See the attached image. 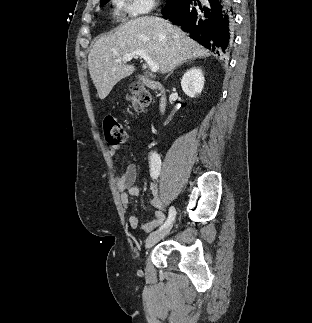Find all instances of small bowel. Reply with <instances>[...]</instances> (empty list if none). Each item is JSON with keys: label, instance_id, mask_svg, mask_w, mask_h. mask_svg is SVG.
<instances>
[{"label": "small bowel", "instance_id": "c3829d8e", "mask_svg": "<svg viewBox=\"0 0 312 323\" xmlns=\"http://www.w3.org/2000/svg\"><path fill=\"white\" fill-rule=\"evenodd\" d=\"M110 155H115L114 148L109 150ZM137 170L135 165H128L122 173L117 177L116 184L121 192L120 200L125 210L129 209L130 197H138L140 190L135 186ZM149 191L151 194L150 204L156 208L152 217L141 223L137 214H132L129 217V225L132 229H140L142 231H151L153 228L161 225L165 219L164 208L159 198L158 188L155 184H150Z\"/></svg>", "mask_w": 312, "mask_h": 323}]
</instances>
